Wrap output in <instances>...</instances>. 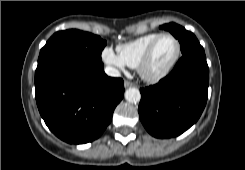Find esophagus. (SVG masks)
Masks as SVG:
<instances>
[{
  "instance_id": "34e87169",
  "label": "esophagus",
  "mask_w": 245,
  "mask_h": 170,
  "mask_svg": "<svg viewBox=\"0 0 245 170\" xmlns=\"http://www.w3.org/2000/svg\"><path fill=\"white\" fill-rule=\"evenodd\" d=\"M132 85V83L131 82H129V81H125L124 82V86L127 88V87H130Z\"/></svg>"
}]
</instances>
